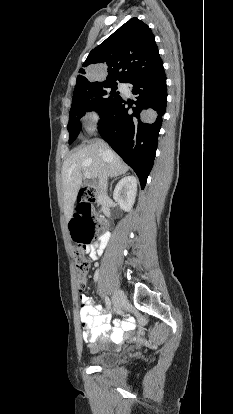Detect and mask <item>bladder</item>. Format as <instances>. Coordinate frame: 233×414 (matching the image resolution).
Returning a JSON list of instances; mask_svg holds the SVG:
<instances>
[{
  "label": "bladder",
  "instance_id": "31cf9c89",
  "mask_svg": "<svg viewBox=\"0 0 233 414\" xmlns=\"http://www.w3.org/2000/svg\"><path fill=\"white\" fill-rule=\"evenodd\" d=\"M118 361L119 355L116 352H102L90 359L91 364L101 367L115 365Z\"/></svg>",
  "mask_w": 233,
  "mask_h": 414
}]
</instances>
